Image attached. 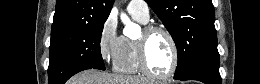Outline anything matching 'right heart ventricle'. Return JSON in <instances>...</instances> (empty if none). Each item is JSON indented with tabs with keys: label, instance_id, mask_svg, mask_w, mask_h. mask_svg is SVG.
Masks as SVG:
<instances>
[{
	"label": "right heart ventricle",
	"instance_id": "1",
	"mask_svg": "<svg viewBox=\"0 0 260 84\" xmlns=\"http://www.w3.org/2000/svg\"><path fill=\"white\" fill-rule=\"evenodd\" d=\"M135 20L143 22L136 16H133ZM114 70L122 74H138L141 73L139 66L136 40L129 37H121V48L119 57L114 64Z\"/></svg>",
	"mask_w": 260,
	"mask_h": 84
}]
</instances>
